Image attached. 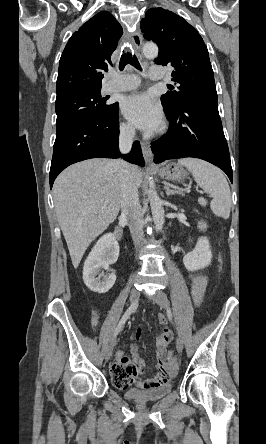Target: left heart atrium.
<instances>
[{
	"label": "left heart atrium",
	"instance_id": "left-heart-atrium-1",
	"mask_svg": "<svg viewBox=\"0 0 266 444\" xmlns=\"http://www.w3.org/2000/svg\"><path fill=\"white\" fill-rule=\"evenodd\" d=\"M125 117L141 130H154L162 122V111L153 99L145 93L128 96L122 105Z\"/></svg>",
	"mask_w": 266,
	"mask_h": 444
}]
</instances>
